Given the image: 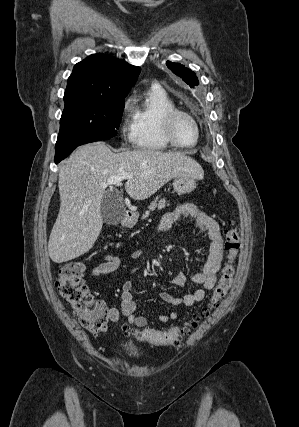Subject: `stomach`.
<instances>
[{
  "label": "stomach",
  "mask_w": 299,
  "mask_h": 427,
  "mask_svg": "<svg viewBox=\"0 0 299 427\" xmlns=\"http://www.w3.org/2000/svg\"><path fill=\"white\" fill-rule=\"evenodd\" d=\"M196 180L197 178L188 175L177 176L174 178L173 188L179 195L189 194L195 190ZM135 223L136 218H133L128 222V225L133 226Z\"/></svg>",
  "instance_id": "stomach-1"
}]
</instances>
